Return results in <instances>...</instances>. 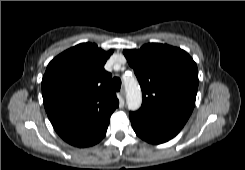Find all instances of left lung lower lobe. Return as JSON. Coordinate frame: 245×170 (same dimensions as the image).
Segmentation results:
<instances>
[{"instance_id":"1","label":"left lung lower lobe","mask_w":245,"mask_h":170,"mask_svg":"<svg viewBox=\"0 0 245 170\" xmlns=\"http://www.w3.org/2000/svg\"><path fill=\"white\" fill-rule=\"evenodd\" d=\"M129 118L136 134L152 143H164L178 134L182 126L156 119L145 113L130 112Z\"/></svg>"}]
</instances>
